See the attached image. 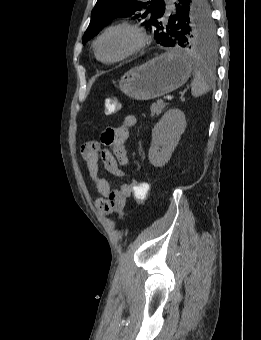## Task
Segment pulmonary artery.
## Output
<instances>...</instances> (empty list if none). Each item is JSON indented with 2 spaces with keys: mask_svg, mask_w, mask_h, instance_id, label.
Returning <instances> with one entry per match:
<instances>
[{
  "mask_svg": "<svg viewBox=\"0 0 261 340\" xmlns=\"http://www.w3.org/2000/svg\"><path fill=\"white\" fill-rule=\"evenodd\" d=\"M167 9H168V13H170V11H171V9H172V2H171V0H169V1L167 2Z\"/></svg>",
  "mask_w": 261,
  "mask_h": 340,
  "instance_id": "1",
  "label": "pulmonary artery"
}]
</instances>
